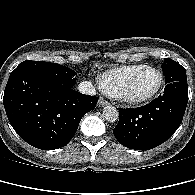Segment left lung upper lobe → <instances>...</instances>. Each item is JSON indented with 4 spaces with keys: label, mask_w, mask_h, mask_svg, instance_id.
<instances>
[{
    "label": "left lung upper lobe",
    "mask_w": 195,
    "mask_h": 195,
    "mask_svg": "<svg viewBox=\"0 0 195 195\" xmlns=\"http://www.w3.org/2000/svg\"><path fill=\"white\" fill-rule=\"evenodd\" d=\"M162 67L165 83L187 81L185 68L174 60L165 58Z\"/></svg>",
    "instance_id": "1"
}]
</instances>
